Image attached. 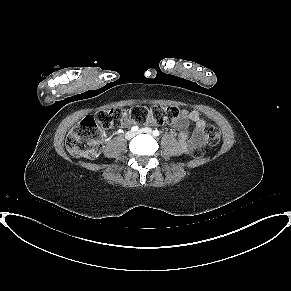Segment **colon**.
Segmentation results:
<instances>
[{"label":"colon","instance_id":"1","mask_svg":"<svg viewBox=\"0 0 291 291\" xmlns=\"http://www.w3.org/2000/svg\"><path fill=\"white\" fill-rule=\"evenodd\" d=\"M180 116L177 107L163 106H135L130 109L113 108L104 109L95 114L84 117L67 135L66 148L74 156L91 159L96 157L101 150V130L120 125L128 118L129 120L144 124H163L172 122ZM206 144L213 147L220 140V131L214 125H206L204 128ZM205 148L196 147L191 151L195 159L203 157Z\"/></svg>","mask_w":291,"mask_h":291}]
</instances>
